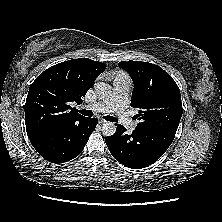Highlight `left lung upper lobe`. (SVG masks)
<instances>
[{
  "label": "left lung upper lobe",
  "mask_w": 222,
  "mask_h": 222,
  "mask_svg": "<svg viewBox=\"0 0 222 222\" xmlns=\"http://www.w3.org/2000/svg\"><path fill=\"white\" fill-rule=\"evenodd\" d=\"M119 66L131 76L134 89L131 106L139 109L138 129L177 131L183 108L180 90L161 67L142 61H122Z\"/></svg>",
  "instance_id": "obj_1"
}]
</instances>
